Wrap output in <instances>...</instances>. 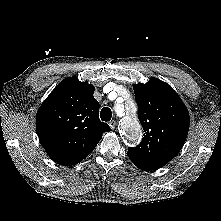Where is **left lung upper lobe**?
<instances>
[{
    "label": "left lung upper lobe",
    "mask_w": 221,
    "mask_h": 221,
    "mask_svg": "<svg viewBox=\"0 0 221 221\" xmlns=\"http://www.w3.org/2000/svg\"><path fill=\"white\" fill-rule=\"evenodd\" d=\"M138 117L144 129L142 142L127 155L162 167L181 150L189 130V113L178 94L165 82L152 78L133 85Z\"/></svg>",
    "instance_id": "1"
}]
</instances>
